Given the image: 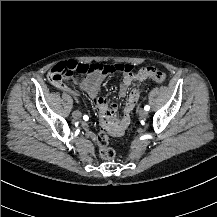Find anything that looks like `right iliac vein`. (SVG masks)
I'll return each instance as SVG.
<instances>
[{
    "label": "right iliac vein",
    "instance_id": "obj_1",
    "mask_svg": "<svg viewBox=\"0 0 217 217\" xmlns=\"http://www.w3.org/2000/svg\"><path fill=\"white\" fill-rule=\"evenodd\" d=\"M74 119H79L81 117V112L79 110H75L72 113Z\"/></svg>",
    "mask_w": 217,
    "mask_h": 217
}]
</instances>
